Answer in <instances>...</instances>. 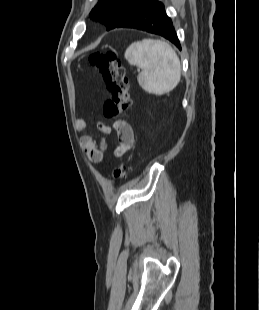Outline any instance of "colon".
Returning a JSON list of instances; mask_svg holds the SVG:
<instances>
[{
  "label": "colon",
  "mask_w": 259,
  "mask_h": 310,
  "mask_svg": "<svg viewBox=\"0 0 259 310\" xmlns=\"http://www.w3.org/2000/svg\"><path fill=\"white\" fill-rule=\"evenodd\" d=\"M90 62L102 75L110 93L103 105V115L113 119L126 113L131 106V96L125 69L118 54L111 49L96 51L90 56ZM131 169L130 163L124 161L114 169L112 177L123 180Z\"/></svg>",
  "instance_id": "colon-1"
}]
</instances>
